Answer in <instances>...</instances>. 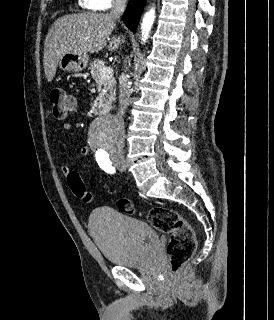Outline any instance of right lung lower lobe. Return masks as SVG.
Returning a JSON list of instances; mask_svg holds the SVG:
<instances>
[{"instance_id":"98d812e1","label":"right lung lower lobe","mask_w":274,"mask_h":320,"mask_svg":"<svg viewBox=\"0 0 274 320\" xmlns=\"http://www.w3.org/2000/svg\"><path fill=\"white\" fill-rule=\"evenodd\" d=\"M144 4L145 0H129L126 11L122 16L124 24L133 32L136 31L138 26Z\"/></svg>"}]
</instances>
